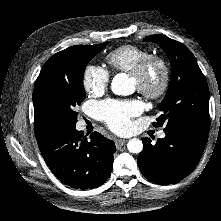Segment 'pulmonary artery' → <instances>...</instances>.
<instances>
[{
	"label": "pulmonary artery",
	"instance_id": "obj_1",
	"mask_svg": "<svg viewBox=\"0 0 221 221\" xmlns=\"http://www.w3.org/2000/svg\"><path fill=\"white\" fill-rule=\"evenodd\" d=\"M158 138H164L165 137V133L163 131H160L158 134H157Z\"/></svg>",
	"mask_w": 221,
	"mask_h": 221
}]
</instances>
